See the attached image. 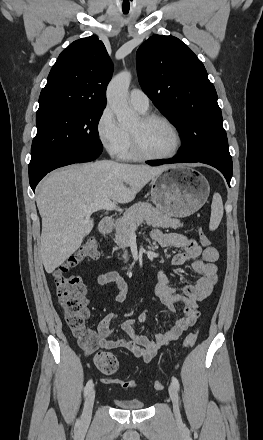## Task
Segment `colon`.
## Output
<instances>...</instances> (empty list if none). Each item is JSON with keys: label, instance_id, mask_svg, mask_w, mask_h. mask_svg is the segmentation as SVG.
I'll list each match as a JSON object with an SVG mask.
<instances>
[{"label": "colon", "instance_id": "5ec220e1", "mask_svg": "<svg viewBox=\"0 0 263 440\" xmlns=\"http://www.w3.org/2000/svg\"><path fill=\"white\" fill-rule=\"evenodd\" d=\"M199 237L204 246L208 247L210 245L209 238L203 231L199 232ZM98 256L97 242L94 239H88L75 254L58 266L54 272V280L61 310L73 336L87 351L95 343L96 336L86 329L88 316L85 297L86 288L81 278L77 275L70 274L69 271L86 260L97 259ZM196 340L197 332L189 333L185 338L184 347L186 349L193 347ZM95 365L98 370L106 375L114 374L119 368L117 358L107 352H99L96 354ZM113 382L124 389H132L135 387V382L132 380H113ZM153 388L156 391H160L163 388V383L161 381H155Z\"/></svg>", "mask_w": 263, "mask_h": 440}]
</instances>
